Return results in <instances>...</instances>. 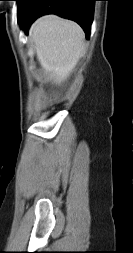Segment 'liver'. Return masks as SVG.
<instances>
[{"label":"liver","instance_id":"1","mask_svg":"<svg viewBox=\"0 0 133 253\" xmlns=\"http://www.w3.org/2000/svg\"><path fill=\"white\" fill-rule=\"evenodd\" d=\"M41 68L52 85L65 83L84 52V32L75 22L56 15L37 19L29 31Z\"/></svg>","mask_w":133,"mask_h":253}]
</instances>
